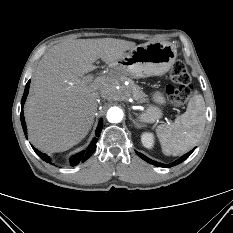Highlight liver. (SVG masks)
<instances>
[{
    "instance_id": "6515ba94",
    "label": "liver",
    "mask_w": 233,
    "mask_h": 233,
    "mask_svg": "<svg viewBox=\"0 0 233 233\" xmlns=\"http://www.w3.org/2000/svg\"><path fill=\"white\" fill-rule=\"evenodd\" d=\"M135 42L115 39L66 40L51 47L33 75L24 115L31 143L43 152H63L89 132L99 96H107L109 77L87 81L97 59L113 65Z\"/></svg>"
}]
</instances>
